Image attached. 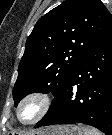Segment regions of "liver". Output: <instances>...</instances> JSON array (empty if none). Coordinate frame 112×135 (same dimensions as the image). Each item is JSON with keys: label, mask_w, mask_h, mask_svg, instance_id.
Segmentation results:
<instances>
[{"label": "liver", "mask_w": 112, "mask_h": 135, "mask_svg": "<svg viewBox=\"0 0 112 135\" xmlns=\"http://www.w3.org/2000/svg\"><path fill=\"white\" fill-rule=\"evenodd\" d=\"M41 134L44 132V131H39Z\"/></svg>", "instance_id": "6515ba94"}]
</instances>
